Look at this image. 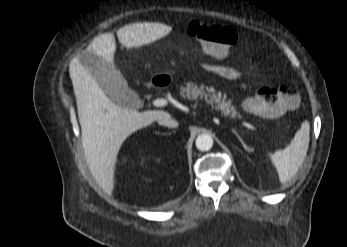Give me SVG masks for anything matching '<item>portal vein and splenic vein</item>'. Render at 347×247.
<instances>
[{"mask_svg": "<svg viewBox=\"0 0 347 247\" xmlns=\"http://www.w3.org/2000/svg\"><path fill=\"white\" fill-rule=\"evenodd\" d=\"M152 103L154 106L160 107L166 106L168 104V101L166 99H155ZM242 125L250 130L257 131V128L250 123L243 122Z\"/></svg>", "mask_w": 347, "mask_h": 247, "instance_id": "obj_1", "label": "portal vein and splenic vein"}]
</instances>
